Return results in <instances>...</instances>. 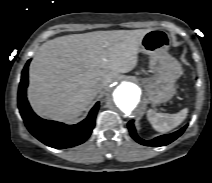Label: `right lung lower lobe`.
I'll return each mask as SVG.
<instances>
[{"label":"right lung lower lobe","instance_id":"right-lung-lower-lobe-1","mask_svg":"<svg viewBox=\"0 0 212 183\" xmlns=\"http://www.w3.org/2000/svg\"><path fill=\"white\" fill-rule=\"evenodd\" d=\"M29 63L30 60L22 71L18 91V107L27 129L39 141L52 148H69L86 141L95 126L99 103H96L85 120L75 125H66L38 117L31 109L26 98Z\"/></svg>","mask_w":212,"mask_h":183}]
</instances>
